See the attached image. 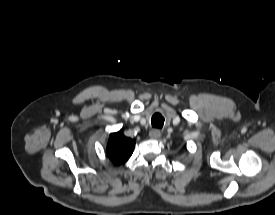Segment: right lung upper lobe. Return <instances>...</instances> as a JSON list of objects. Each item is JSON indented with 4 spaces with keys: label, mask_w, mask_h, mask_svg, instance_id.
Instances as JSON below:
<instances>
[{
    "label": "right lung upper lobe",
    "mask_w": 275,
    "mask_h": 215,
    "mask_svg": "<svg viewBox=\"0 0 275 215\" xmlns=\"http://www.w3.org/2000/svg\"><path fill=\"white\" fill-rule=\"evenodd\" d=\"M135 140L126 138L121 132L110 134L107 154L115 164L124 163L133 153Z\"/></svg>",
    "instance_id": "1"
}]
</instances>
